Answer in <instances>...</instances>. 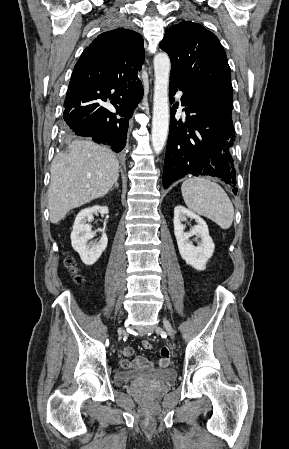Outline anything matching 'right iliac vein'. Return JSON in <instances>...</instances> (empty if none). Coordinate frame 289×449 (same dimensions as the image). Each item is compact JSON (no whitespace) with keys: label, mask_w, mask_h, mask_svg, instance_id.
<instances>
[{"label":"right iliac vein","mask_w":289,"mask_h":449,"mask_svg":"<svg viewBox=\"0 0 289 449\" xmlns=\"http://www.w3.org/2000/svg\"><path fill=\"white\" fill-rule=\"evenodd\" d=\"M123 332H124V330L121 329V330L119 331V334L121 335V334H123Z\"/></svg>","instance_id":"1"}]
</instances>
